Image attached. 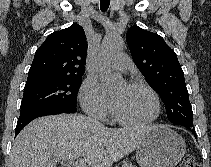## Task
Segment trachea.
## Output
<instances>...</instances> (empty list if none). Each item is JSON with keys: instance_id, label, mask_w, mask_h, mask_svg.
Returning <instances> with one entry per match:
<instances>
[{"instance_id": "1", "label": "trachea", "mask_w": 211, "mask_h": 167, "mask_svg": "<svg viewBox=\"0 0 211 167\" xmlns=\"http://www.w3.org/2000/svg\"><path fill=\"white\" fill-rule=\"evenodd\" d=\"M110 5V0H101L100 1V9L102 12L107 11L108 7Z\"/></svg>"}]
</instances>
